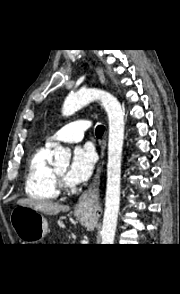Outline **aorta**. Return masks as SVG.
<instances>
[{"instance_id": "762f6f07", "label": "aorta", "mask_w": 180, "mask_h": 294, "mask_svg": "<svg viewBox=\"0 0 180 294\" xmlns=\"http://www.w3.org/2000/svg\"><path fill=\"white\" fill-rule=\"evenodd\" d=\"M101 102L108 115V163L105 211L101 230L103 245L114 242L120 206L121 159L124 140V111L119 101L110 93L100 89H81L66 97L62 114L70 116L92 101ZM71 152L62 146L54 150V160L57 166H68Z\"/></svg>"}]
</instances>
